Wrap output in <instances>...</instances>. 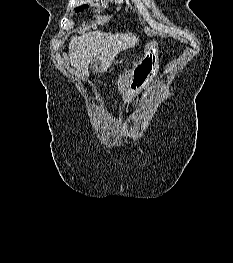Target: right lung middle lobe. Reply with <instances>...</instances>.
<instances>
[{"instance_id":"right-lung-middle-lobe-1","label":"right lung middle lobe","mask_w":233,"mask_h":263,"mask_svg":"<svg viewBox=\"0 0 233 263\" xmlns=\"http://www.w3.org/2000/svg\"><path fill=\"white\" fill-rule=\"evenodd\" d=\"M86 6H83V7H80V8H76L75 10H76V12H78V11H83V9L85 8Z\"/></svg>"}]
</instances>
